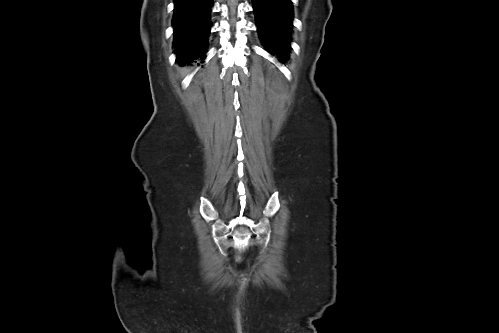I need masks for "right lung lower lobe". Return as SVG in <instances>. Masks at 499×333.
Here are the masks:
<instances>
[{
	"label": "right lung lower lobe",
	"instance_id": "98d812e1",
	"mask_svg": "<svg viewBox=\"0 0 499 333\" xmlns=\"http://www.w3.org/2000/svg\"><path fill=\"white\" fill-rule=\"evenodd\" d=\"M174 48L180 64L204 59L213 0H174Z\"/></svg>",
	"mask_w": 499,
	"mask_h": 333
}]
</instances>
